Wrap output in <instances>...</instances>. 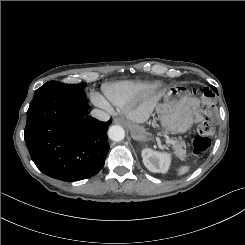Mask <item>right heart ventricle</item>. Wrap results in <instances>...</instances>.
<instances>
[{
  "mask_svg": "<svg viewBox=\"0 0 245 245\" xmlns=\"http://www.w3.org/2000/svg\"><path fill=\"white\" fill-rule=\"evenodd\" d=\"M159 86L158 82L124 81L104 87L108 102L117 109L127 108Z\"/></svg>",
  "mask_w": 245,
  "mask_h": 245,
  "instance_id": "obj_1",
  "label": "right heart ventricle"
}]
</instances>
